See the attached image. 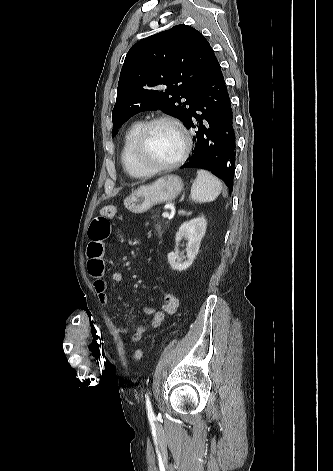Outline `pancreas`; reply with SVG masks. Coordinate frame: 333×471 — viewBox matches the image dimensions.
I'll use <instances>...</instances> for the list:
<instances>
[{
  "label": "pancreas",
  "mask_w": 333,
  "mask_h": 471,
  "mask_svg": "<svg viewBox=\"0 0 333 471\" xmlns=\"http://www.w3.org/2000/svg\"><path fill=\"white\" fill-rule=\"evenodd\" d=\"M153 220H154L155 232L161 235L164 232V230L167 229L168 222L157 220L155 217H153Z\"/></svg>",
  "instance_id": "1"
}]
</instances>
